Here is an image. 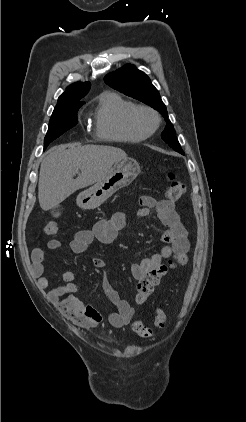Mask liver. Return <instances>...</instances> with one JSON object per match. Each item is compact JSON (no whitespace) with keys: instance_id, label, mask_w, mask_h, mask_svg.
<instances>
[{"instance_id":"1","label":"liver","mask_w":246,"mask_h":422,"mask_svg":"<svg viewBox=\"0 0 246 422\" xmlns=\"http://www.w3.org/2000/svg\"><path fill=\"white\" fill-rule=\"evenodd\" d=\"M127 154L115 147L68 144L49 149L40 167L38 199L47 211L75 191L102 180ZM80 170L76 179L73 175Z\"/></svg>"}]
</instances>
